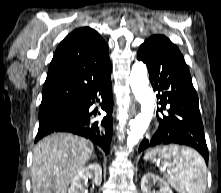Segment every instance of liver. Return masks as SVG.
Segmentation results:
<instances>
[{
    "label": "liver",
    "instance_id": "liver-1",
    "mask_svg": "<svg viewBox=\"0 0 221 193\" xmlns=\"http://www.w3.org/2000/svg\"><path fill=\"white\" fill-rule=\"evenodd\" d=\"M92 152L90 141L72 134L55 133L40 140L33 153V193H67Z\"/></svg>",
    "mask_w": 221,
    "mask_h": 193
}]
</instances>
